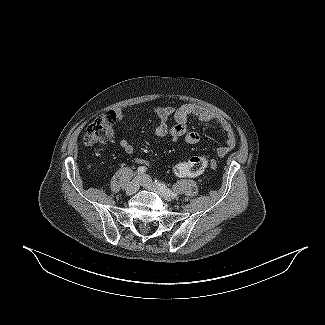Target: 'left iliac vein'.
<instances>
[{
  "mask_svg": "<svg viewBox=\"0 0 325 325\" xmlns=\"http://www.w3.org/2000/svg\"><path fill=\"white\" fill-rule=\"evenodd\" d=\"M140 181H141V185L143 187H145L146 189L156 192L157 194H159L161 197L165 198L166 200L172 199V197L167 196L164 193H162L159 190V188L152 182L151 178L148 175H146V174L142 175L140 178Z\"/></svg>",
  "mask_w": 325,
  "mask_h": 325,
  "instance_id": "1",
  "label": "left iliac vein"
}]
</instances>
